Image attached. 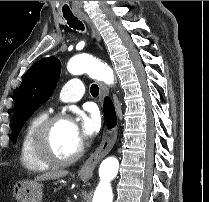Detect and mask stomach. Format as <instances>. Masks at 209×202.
Here are the masks:
<instances>
[{"label": "stomach", "mask_w": 209, "mask_h": 202, "mask_svg": "<svg viewBox=\"0 0 209 202\" xmlns=\"http://www.w3.org/2000/svg\"><path fill=\"white\" fill-rule=\"evenodd\" d=\"M13 196L17 202H41L42 187L37 181H18L13 187Z\"/></svg>", "instance_id": "0dacf381"}]
</instances>
